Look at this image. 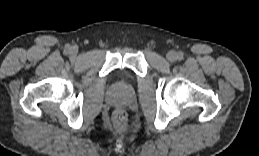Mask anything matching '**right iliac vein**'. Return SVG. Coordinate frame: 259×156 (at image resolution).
<instances>
[{"label":"right iliac vein","mask_w":259,"mask_h":156,"mask_svg":"<svg viewBox=\"0 0 259 156\" xmlns=\"http://www.w3.org/2000/svg\"><path fill=\"white\" fill-rule=\"evenodd\" d=\"M77 53H78V51H77L76 48H71V49H70V54H71L72 56H76Z\"/></svg>","instance_id":"1"}]
</instances>
